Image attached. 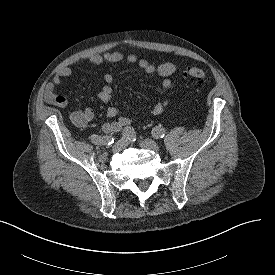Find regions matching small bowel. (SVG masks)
I'll return each instance as SVG.
<instances>
[{
  "label": "small bowel",
  "instance_id": "c3829d8e",
  "mask_svg": "<svg viewBox=\"0 0 275 275\" xmlns=\"http://www.w3.org/2000/svg\"><path fill=\"white\" fill-rule=\"evenodd\" d=\"M125 59V61L129 64H137L138 67L143 70L145 73L149 75L156 74L159 78H161V85L165 91H171L175 87V83L171 78L177 71V67L173 63H163L159 66H154L147 60H138V58L130 54L126 58L120 52H106L103 54H94L88 58V61L95 65H100L103 63H118ZM72 75V69L69 67H64L59 69L54 75L51 82H49L45 87V101L54 106H58L61 108H65L68 106V100L66 97L60 94H56L54 92V88L56 85L62 83L63 79ZM113 81L114 78L111 74L107 73L103 77L104 85L102 89L98 93V97L100 100L104 102H109L112 99L113 95ZM166 108V104L163 101L156 103L150 113L151 115H160L164 112ZM106 115L109 118H115L111 122H106L103 124L102 129L105 133H113L118 132L130 125L131 119L126 116H119V110L115 106H110ZM94 118V112L91 109L84 110H76L69 114L70 121L77 127H84Z\"/></svg>",
  "mask_w": 275,
  "mask_h": 275
}]
</instances>
